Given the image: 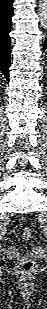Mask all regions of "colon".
Segmentation results:
<instances>
[{
	"label": "colon",
	"mask_w": 47,
	"mask_h": 309,
	"mask_svg": "<svg viewBox=\"0 0 47 309\" xmlns=\"http://www.w3.org/2000/svg\"><path fill=\"white\" fill-rule=\"evenodd\" d=\"M22 237L28 239L31 236V230L29 228H24L22 230ZM36 264L31 259H22L18 264V270L22 274H30L35 270Z\"/></svg>",
	"instance_id": "5ec220e1"
}]
</instances>
